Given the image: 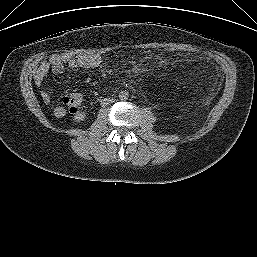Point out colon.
Wrapping results in <instances>:
<instances>
[{"label":"colon","mask_w":257,"mask_h":257,"mask_svg":"<svg viewBox=\"0 0 257 257\" xmlns=\"http://www.w3.org/2000/svg\"><path fill=\"white\" fill-rule=\"evenodd\" d=\"M167 53H175L176 49L172 47L165 48ZM63 105L72 113L77 112L82 104V97L79 94L71 93L62 99Z\"/></svg>","instance_id":"5ec220e1"}]
</instances>
